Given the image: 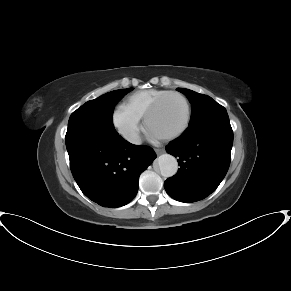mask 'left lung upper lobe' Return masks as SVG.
<instances>
[{
    "label": "left lung upper lobe",
    "instance_id": "1",
    "mask_svg": "<svg viewBox=\"0 0 291 291\" xmlns=\"http://www.w3.org/2000/svg\"><path fill=\"white\" fill-rule=\"evenodd\" d=\"M177 90L185 94L191 103L192 114L187 129L196 128L210 119L227 114L223 106L207 95L185 88H177Z\"/></svg>",
    "mask_w": 291,
    "mask_h": 291
}]
</instances>
